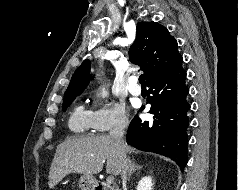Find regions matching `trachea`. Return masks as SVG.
I'll return each mask as SVG.
<instances>
[{
    "mask_svg": "<svg viewBox=\"0 0 238 190\" xmlns=\"http://www.w3.org/2000/svg\"><path fill=\"white\" fill-rule=\"evenodd\" d=\"M139 83L141 86H146L144 75L139 76Z\"/></svg>",
    "mask_w": 238,
    "mask_h": 190,
    "instance_id": "obj_1",
    "label": "trachea"
}]
</instances>
